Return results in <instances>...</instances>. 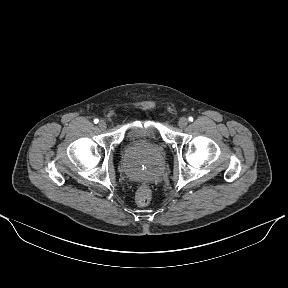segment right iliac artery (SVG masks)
Here are the masks:
<instances>
[{
	"instance_id": "obj_1",
	"label": "right iliac artery",
	"mask_w": 288,
	"mask_h": 288,
	"mask_svg": "<svg viewBox=\"0 0 288 288\" xmlns=\"http://www.w3.org/2000/svg\"><path fill=\"white\" fill-rule=\"evenodd\" d=\"M99 122L98 119H94V123L97 124Z\"/></svg>"
}]
</instances>
